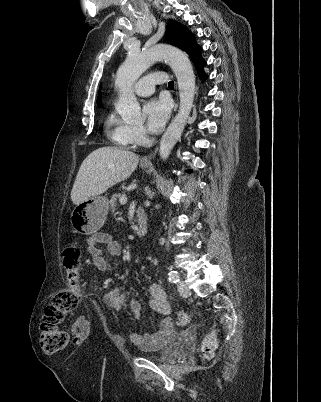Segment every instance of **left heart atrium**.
<instances>
[{
    "mask_svg": "<svg viewBox=\"0 0 321 402\" xmlns=\"http://www.w3.org/2000/svg\"><path fill=\"white\" fill-rule=\"evenodd\" d=\"M171 106L167 99L156 98L149 100L144 106L146 125L149 131H161L170 115Z\"/></svg>",
    "mask_w": 321,
    "mask_h": 402,
    "instance_id": "left-heart-atrium-1",
    "label": "left heart atrium"
}]
</instances>
